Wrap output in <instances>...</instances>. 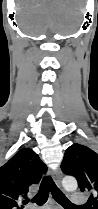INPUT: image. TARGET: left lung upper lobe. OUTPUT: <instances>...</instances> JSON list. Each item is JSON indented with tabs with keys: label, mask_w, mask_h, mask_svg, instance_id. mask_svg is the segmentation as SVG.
<instances>
[{
	"label": "left lung upper lobe",
	"mask_w": 98,
	"mask_h": 209,
	"mask_svg": "<svg viewBox=\"0 0 98 209\" xmlns=\"http://www.w3.org/2000/svg\"><path fill=\"white\" fill-rule=\"evenodd\" d=\"M61 169L74 176L82 192L91 193L88 209H98V154L90 148L73 144L66 151Z\"/></svg>",
	"instance_id": "obj_1"
}]
</instances>
